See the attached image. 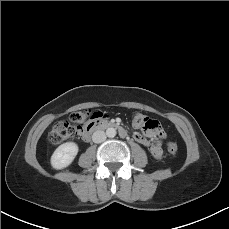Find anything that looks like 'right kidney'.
I'll list each match as a JSON object with an SVG mask.
<instances>
[{"label":"right kidney","mask_w":229,"mask_h":229,"mask_svg":"<svg viewBox=\"0 0 229 229\" xmlns=\"http://www.w3.org/2000/svg\"><path fill=\"white\" fill-rule=\"evenodd\" d=\"M78 145L74 142H66L60 145L51 156V165L60 170L69 166L78 153Z\"/></svg>","instance_id":"ca27d5eb"}]
</instances>
